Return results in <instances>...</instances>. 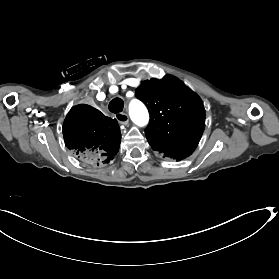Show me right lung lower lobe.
<instances>
[{
  "label": "right lung lower lobe",
  "instance_id": "1",
  "mask_svg": "<svg viewBox=\"0 0 279 279\" xmlns=\"http://www.w3.org/2000/svg\"><path fill=\"white\" fill-rule=\"evenodd\" d=\"M66 147L82 163H109L119 150L120 128L115 119L85 104L73 107L63 123Z\"/></svg>",
  "mask_w": 279,
  "mask_h": 279
}]
</instances>
